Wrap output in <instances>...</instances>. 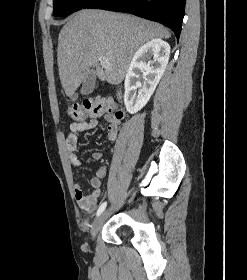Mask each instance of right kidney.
Segmentation results:
<instances>
[{
  "label": "right kidney",
  "instance_id": "right-kidney-1",
  "mask_svg": "<svg viewBox=\"0 0 247 280\" xmlns=\"http://www.w3.org/2000/svg\"><path fill=\"white\" fill-rule=\"evenodd\" d=\"M169 56V44L159 38L148 41L136 51L124 84V103L130 114L147 104L167 67ZM141 72H145L143 85L139 81Z\"/></svg>",
  "mask_w": 247,
  "mask_h": 280
}]
</instances>
